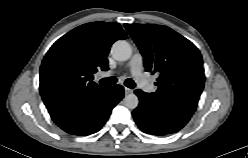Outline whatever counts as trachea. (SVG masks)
I'll use <instances>...</instances> for the list:
<instances>
[{
    "mask_svg": "<svg viewBox=\"0 0 248 158\" xmlns=\"http://www.w3.org/2000/svg\"><path fill=\"white\" fill-rule=\"evenodd\" d=\"M116 82H117V79L115 77H108V78H103L100 80L101 85H113ZM125 85L131 89H133L136 86L134 81L130 78L125 81Z\"/></svg>",
    "mask_w": 248,
    "mask_h": 158,
    "instance_id": "1",
    "label": "trachea"
}]
</instances>
